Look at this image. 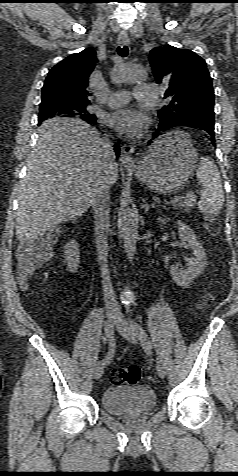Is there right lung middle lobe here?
Wrapping results in <instances>:
<instances>
[{
    "instance_id": "obj_1",
    "label": "right lung middle lobe",
    "mask_w": 238,
    "mask_h": 476,
    "mask_svg": "<svg viewBox=\"0 0 238 476\" xmlns=\"http://www.w3.org/2000/svg\"><path fill=\"white\" fill-rule=\"evenodd\" d=\"M87 105H68L56 101H44L41 102L39 108V122L53 117V116H76L88 123H94L96 121L95 115L89 113L86 109Z\"/></svg>"
}]
</instances>
